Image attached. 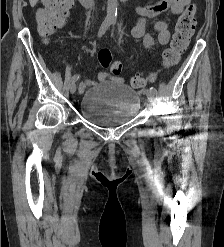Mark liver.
Listing matches in <instances>:
<instances>
[{
	"instance_id": "1",
	"label": "liver",
	"mask_w": 224,
	"mask_h": 247,
	"mask_svg": "<svg viewBox=\"0 0 224 247\" xmlns=\"http://www.w3.org/2000/svg\"><path fill=\"white\" fill-rule=\"evenodd\" d=\"M30 2V6H32V8H34V6H36L38 0H29Z\"/></svg>"
}]
</instances>
